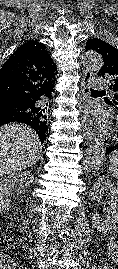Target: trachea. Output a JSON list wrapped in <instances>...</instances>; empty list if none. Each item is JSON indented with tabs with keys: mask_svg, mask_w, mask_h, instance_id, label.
<instances>
[{
	"mask_svg": "<svg viewBox=\"0 0 118 269\" xmlns=\"http://www.w3.org/2000/svg\"><path fill=\"white\" fill-rule=\"evenodd\" d=\"M90 91H91V92H100V91H98V90H94V89H92V88L90 89Z\"/></svg>",
	"mask_w": 118,
	"mask_h": 269,
	"instance_id": "1",
	"label": "trachea"
}]
</instances>
